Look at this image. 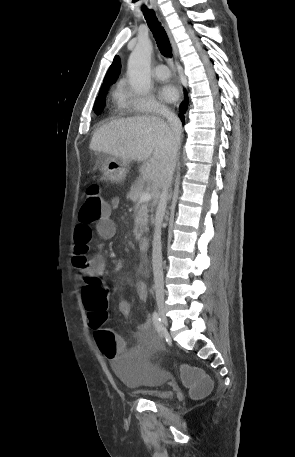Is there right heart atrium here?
I'll list each match as a JSON object with an SVG mask.
<instances>
[{"label": "right heart atrium", "mask_w": 295, "mask_h": 457, "mask_svg": "<svg viewBox=\"0 0 295 457\" xmlns=\"http://www.w3.org/2000/svg\"><path fill=\"white\" fill-rule=\"evenodd\" d=\"M127 104L129 109L135 113L163 115L168 111L166 106L151 94L140 96L128 93Z\"/></svg>", "instance_id": "d8ad5b80"}]
</instances>
